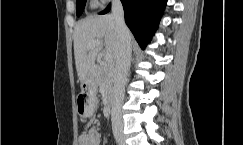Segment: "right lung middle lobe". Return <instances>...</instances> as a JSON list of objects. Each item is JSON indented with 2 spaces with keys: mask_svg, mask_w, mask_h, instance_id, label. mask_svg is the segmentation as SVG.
I'll return each instance as SVG.
<instances>
[{
  "mask_svg": "<svg viewBox=\"0 0 243 145\" xmlns=\"http://www.w3.org/2000/svg\"><path fill=\"white\" fill-rule=\"evenodd\" d=\"M86 0H76V14L80 16L84 10Z\"/></svg>",
  "mask_w": 243,
  "mask_h": 145,
  "instance_id": "dd1d6c3e",
  "label": "right lung middle lobe"
}]
</instances>
